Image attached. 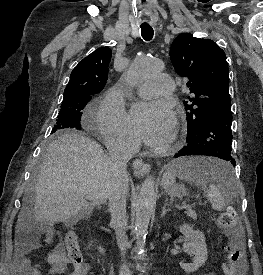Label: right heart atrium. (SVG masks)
Wrapping results in <instances>:
<instances>
[{
    "instance_id": "right-heart-atrium-1",
    "label": "right heart atrium",
    "mask_w": 263,
    "mask_h": 275,
    "mask_svg": "<svg viewBox=\"0 0 263 275\" xmlns=\"http://www.w3.org/2000/svg\"><path fill=\"white\" fill-rule=\"evenodd\" d=\"M94 131L108 144L133 148L137 140L127 116L112 92L102 96L94 110Z\"/></svg>"
}]
</instances>
